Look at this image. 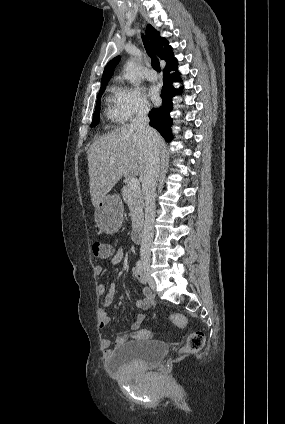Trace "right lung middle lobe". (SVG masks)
I'll list each match as a JSON object with an SVG mask.
<instances>
[{
    "label": "right lung middle lobe",
    "mask_w": 285,
    "mask_h": 424,
    "mask_svg": "<svg viewBox=\"0 0 285 424\" xmlns=\"http://www.w3.org/2000/svg\"><path fill=\"white\" fill-rule=\"evenodd\" d=\"M104 89H105V87L100 88V92H99L98 97H97L96 108H95L93 120H92V123H91V127H94L95 125H97L99 123L100 101H101V96L104 92Z\"/></svg>",
    "instance_id": "dd1d6c3e"
}]
</instances>
